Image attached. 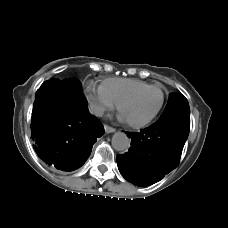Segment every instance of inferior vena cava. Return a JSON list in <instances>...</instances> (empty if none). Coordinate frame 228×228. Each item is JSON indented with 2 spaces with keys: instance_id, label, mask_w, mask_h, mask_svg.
Returning <instances> with one entry per match:
<instances>
[{
  "instance_id": "inferior-vena-cava-1",
  "label": "inferior vena cava",
  "mask_w": 228,
  "mask_h": 228,
  "mask_svg": "<svg viewBox=\"0 0 228 228\" xmlns=\"http://www.w3.org/2000/svg\"><path fill=\"white\" fill-rule=\"evenodd\" d=\"M89 112L98 116V117H101L104 114V108L95 104V103H90Z\"/></svg>"
}]
</instances>
